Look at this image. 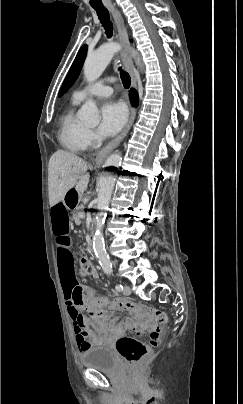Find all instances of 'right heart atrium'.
<instances>
[{
    "label": "right heart atrium",
    "mask_w": 243,
    "mask_h": 404,
    "mask_svg": "<svg viewBox=\"0 0 243 404\" xmlns=\"http://www.w3.org/2000/svg\"><path fill=\"white\" fill-rule=\"evenodd\" d=\"M85 140L87 148H97L100 145V138L93 130L86 131Z\"/></svg>",
    "instance_id": "right-heart-atrium-1"
}]
</instances>
